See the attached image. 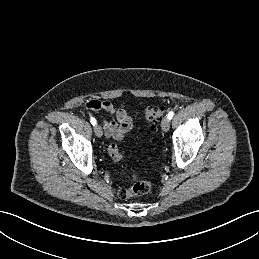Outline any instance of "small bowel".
I'll return each instance as SVG.
<instances>
[{
    "label": "small bowel",
    "mask_w": 259,
    "mask_h": 259,
    "mask_svg": "<svg viewBox=\"0 0 259 259\" xmlns=\"http://www.w3.org/2000/svg\"><path fill=\"white\" fill-rule=\"evenodd\" d=\"M85 107L110 115L111 118L103 122L104 133L108 137L122 140L133 127V120L127 111L123 108H115L109 101L90 99L85 102Z\"/></svg>",
    "instance_id": "small-bowel-1"
}]
</instances>
